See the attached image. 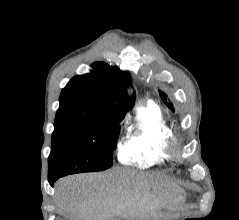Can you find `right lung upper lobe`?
I'll list each match as a JSON object with an SVG mask.
<instances>
[{
	"label": "right lung upper lobe",
	"instance_id": "right-lung-upper-lobe-1",
	"mask_svg": "<svg viewBox=\"0 0 239 220\" xmlns=\"http://www.w3.org/2000/svg\"><path fill=\"white\" fill-rule=\"evenodd\" d=\"M92 67V73L73 77L62 90L55 120L124 118L133 107L134 100L126 95L129 72L103 62Z\"/></svg>",
	"mask_w": 239,
	"mask_h": 220
}]
</instances>
